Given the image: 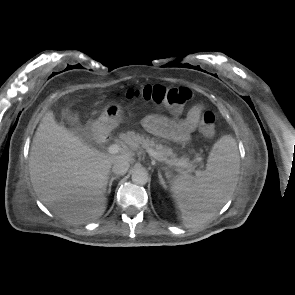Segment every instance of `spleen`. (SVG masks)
<instances>
[{"mask_svg": "<svg viewBox=\"0 0 295 295\" xmlns=\"http://www.w3.org/2000/svg\"><path fill=\"white\" fill-rule=\"evenodd\" d=\"M239 153L231 136L221 137L213 146L206 170L196 176L181 175L171 185L185 226L206 223L232 196L238 181Z\"/></svg>", "mask_w": 295, "mask_h": 295, "instance_id": "obj_1", "label": "spleen"}]
</instances>
